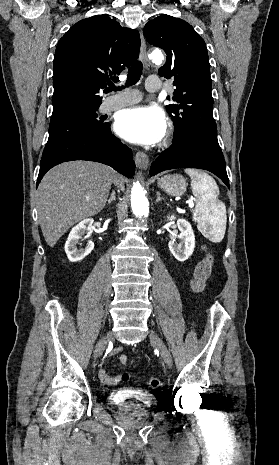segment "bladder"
I'll use <instances>...</instances> for the list:
<instances>
[{
  "instance_id": "bladder-1",
  "label": "bladder",
  "mask_w": 279,
  "mask_h": 465,
  "mask_svg": "<svg viewBox=\"0 0 279 465\" xmlns=\"http://www.w3.org/2000/svg\"><path fill=\"white\" fill-rule=\"evenodd\" d=\"M111 399L121 412L133 415L156 405L155 397L145 392L117 390L111 395Z\"/></svg>"
}]
</instances>
